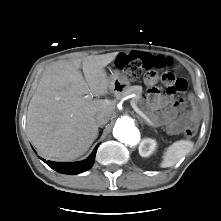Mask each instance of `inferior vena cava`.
I'll list each match as a JSON object with an SVG mask.
<instances>
[{"label":"inferior vena cava","instance_id":"1","mask_svg":"<svg viewBox=\"0 0 221 221\" xmlns=\"http://www.w3.org/2000/svg\"><path fill=\"white\" fill-rule=\"evenodd\" d=\"M95 120L97 125L101 127L104 126L109 121V117L102 113H98L95 117Z\"/></svg>","mask_w":221,"mask_h":221}]
</instances>
